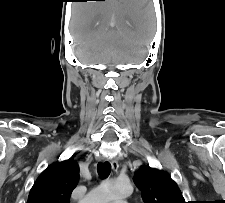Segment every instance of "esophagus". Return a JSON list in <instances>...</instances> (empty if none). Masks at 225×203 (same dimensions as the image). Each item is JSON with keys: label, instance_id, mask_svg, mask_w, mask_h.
<instances>
[{"label": "esophagus", "instance_id": "1", "mask_svg": "<svg viewBox=\"0 0 225 203\" xmlns=\"http://www.w3.org/2000/svg\"><path fill=\"white\" fill-rule=\"evenodd\" d=\"M110 163H111L112 169L114 171H116L118 169V167H119L117 160L116 159H111Z\"/></svg>", "mask_w": 225, "mask_h": 203}]
</instances>
